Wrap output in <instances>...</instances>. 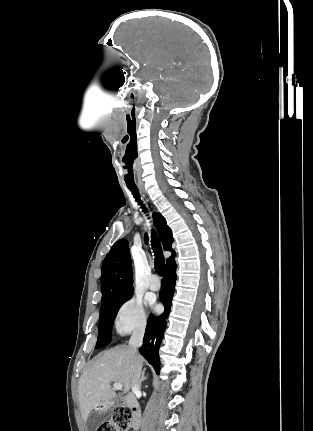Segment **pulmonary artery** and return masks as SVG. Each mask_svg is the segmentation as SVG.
I'll return each mask as SVG.
<instances>
[{"mask_svg":"<svg viewBox=\"0 0 313 431\" xmlns=\"http://www.w3.org/2000/svg\"><path fill=\"white\" fill-rule=\"evenodd\" d=\"M148 286L153 291H157L160 289V281L156 275H152Z\"/></svg>","mask_w":313,"mask_h":431,"instance_id":"e3ab8cb5","label":"pulmonary artery"}]
</instances>
